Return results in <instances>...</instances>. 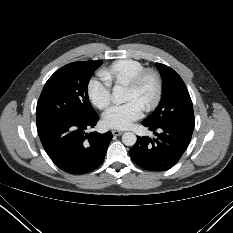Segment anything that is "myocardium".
<instances>
[{
  "label": "myocardium",
  "mask_w": 233,
  "mask_h": 233,
  "mask_svg": "<svg viewBox=\"0 0 233 233\" xmlns=\"http://www.w3.org/2000/svg\"><path fill=\"white\" fill-rule=\"evenodd\" d=\"M148 78L154 82L155 93L151 101L145 105L144 110L151 111L159 105L163 95V80L160 73L153 68H144L127 82V86L139 90Z\"/></svg>",
  "instance_id": "obj_1"
}]
</instances>
